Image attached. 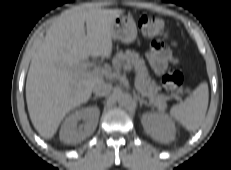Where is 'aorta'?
<instances>
[{"instance_id": "aorta-1", "label": "aorta", "mask_w": 231, "mask_h": 170, "mask_svg": "<svg viewBox=\"0 0 231 170\" xmlns=\"http://www.w3.org/2000/svg\"><path fill=\"white\" fill-rule=\"evenodd\" d=\"M117 101L120 105L128 106L132 102V97L127 93H121L118 95Z\"/></svg>"}]
</instances>
